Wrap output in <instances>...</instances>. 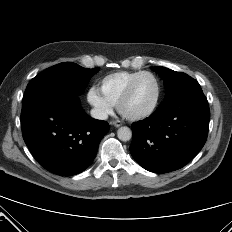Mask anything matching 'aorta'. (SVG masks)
<instances>
[{"label": "aorta", "instance_id": "aorta-1", "mask_svg": "<svg viewBox=\"0 0 232 232\" xmlns=\"http://www.w3.org/2000/svg\"><path fill=\"white\" fill-rule=\"evenodd\" d=\"M117 137L121 141H129L132 138V131L129 127H120L117 131Z\"/></svg>", "mask_w": 232, "mask_h": 232}]
</instances>
